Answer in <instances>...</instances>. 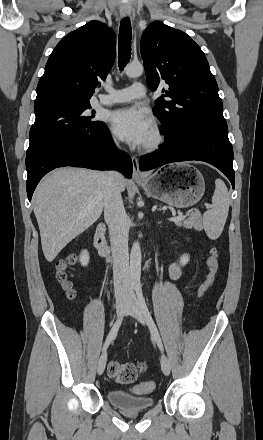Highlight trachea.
Returning <instances> with one entry per match:
<instances>
[{"mask_svg": "<svg viewBox=\"0 0 263 440\" xmlns=\"http://www.w3.org/2000/svg\"><path fill=\"white\" fill-rule=\"evenodd\" d=\"M131 39H132V28L130 19L128 17L121 20L119 28V40H118V50H119V68L123 70L126 64L131 58Z\"/></svg>", "mask_w": 263, "mask_h": 440, "instance_id": "1", "label": "trachea"}]
</instances>
